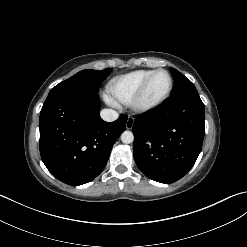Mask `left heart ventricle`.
<instances>
[{
  "instance_id": "1",
  "label": "left heart ventricle",
  "mask_w": 247,
  "mask_h": 247,
  "mask_svg": "<svg viewBox=\"0 0 247 247\" xmlns=\"http://www.w3.org/2000/svg\"><path fill=\"white\" fill-rule=\"evenodd\" d=\"M169 84L168 77L165 73L157 74L147 91L146 101H155L159 99L167 90Z\"/></svg>"
}]
</instances>
